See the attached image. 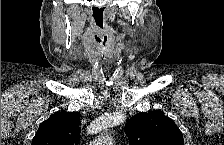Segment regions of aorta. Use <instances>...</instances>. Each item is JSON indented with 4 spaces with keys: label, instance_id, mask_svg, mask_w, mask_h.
I'll return each instance as SVG.
<instances>
[{
    "label": "aorta",
    "instance_id": "1",
    "mask_svg": "<svg viewBox=\"0 0 224 145\" xmlns=\"http://www.w3.org/2000/svg\"><path fill=\"white\" fill-rule=\"evenodd\" d=\"M100 143L104 145H110L112 144V138L109 135H105L100 138Z\"/></svg>",
    "mask_w": 224,
    "mask_h": 145
}]
</instances>
